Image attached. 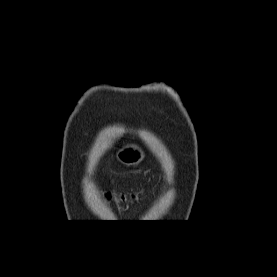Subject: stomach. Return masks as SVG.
<instances>
[{
	"label": "stomach",
	"instance_id": "1",
	"mask_svg": "<svg viewBox=\"0 0 277 277\" xmlns=\"http://www.w3.org/2000/svg\"><path fill=\"white\" fill-rule=\"evenodd\" d=\"M116 157L123 164L135 165L143 160L144 152L137 145L129 144L120 149Z\"/></svg>",
	"mask_w": 277,
	"mask_h": 277
}]
</instances>
